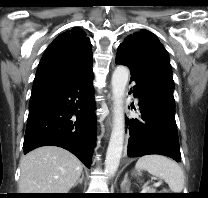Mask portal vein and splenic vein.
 I'll return each mask as SVG.
<instances>
[{
    "label": "portal vein and splenic vein",
    "instance_id": "18ae733b",
    "mask_svg": "<svg viewBox=\"0 0 208 198\" xmlns=\"http://www.w3.org/2000/svg\"><path fill=\"white\" fill-rule=\"evenodd\" d=\"M148 189V187L146 186V187H144V190H147Z\"/></svg>",
    "mask_w": 208,
    "mask_h": 198
}]
</instances>
